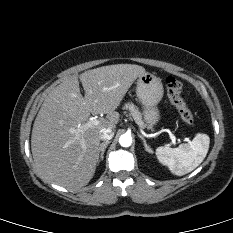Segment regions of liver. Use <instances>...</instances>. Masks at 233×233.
Here are the masks:
<instances>
[{"label": "liver", "mask_w": 233, "mask_h": 233, "mask_svg": "<svg viewBox=\"0 0 233 233\" xmlns=\"http://www.w3.org/2000/svg\"><path fill=\"white\" fill-rule=\"evenodd\" d=\"M146 70L139 65L116 64L63 79L45 98L34 121L31 151L36 169L48 182L77 190L93 178L100 153V131L115 129L120 105L133 82ZM79 80L85 90L80 93ZM90 114H107L83 132Z\"/></svg>", "instance_id": "6515ba94"}]
</instances>
